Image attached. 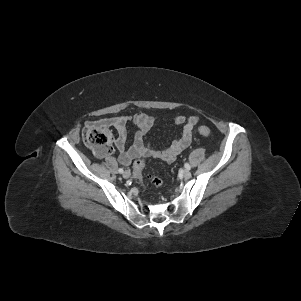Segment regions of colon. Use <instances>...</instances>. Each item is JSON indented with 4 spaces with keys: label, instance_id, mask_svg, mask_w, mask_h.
Masks as SVG:
<instances>
[{
    "label": "colon",
    "instance_id": "obj_1",
    "mask_svg": "<svg viewBox=\"0 0 301 301\" xmlns=\"http://www.w3.org/2000/svg\"><path fill=\"white\" fill-rule=\"evenodd\" d=\"M198 132L202 136H209L211 130L208 126L201 125ZM82 137L86 145H88L98 157H104L112 152L111 141L112 133L107 124L102 122H89L82 131ZM146 164L145 159H138L134 162L133 173L138 182L143 181V168ZM151 181L156 186L163 184L162 180L157 176H152Z\"/></svg>",
    "mask_w": 301,
    "mask_h": 301
}]
</instances>
